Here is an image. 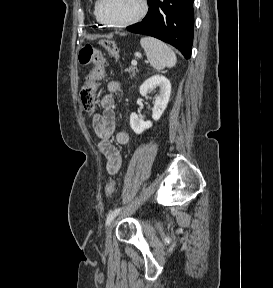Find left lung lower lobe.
Listing matches in <instances>:
<instances>
[{
  "label": "left lung lower lobe",
  "instance_id": "left-lung-lower-lobe-1",
  "mask_svg": "<svg viewBox=\"0 0 273 288\" xmlns=\"http://www.w3.org/2000/svg\"><path fill=\"white\" fill-rule=\"evenodd\" d=\"M148 3L146 17L127 30L169 43L189 59L194 30L193 0H148Z\"/></svg>",
  "mask_w": 273,
  "mask_h": 288
}]
</instances>
